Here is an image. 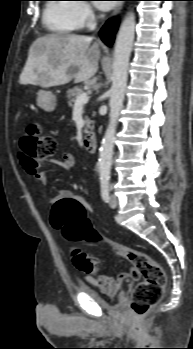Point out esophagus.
I'll list each match as a JSON object with an SVG mask.
<instances>
[{"instance_id": "esophagus-1", "label": "esophagus", "mask_w": 193, "mask_h": 349, "mask_svg": "<svg viewBox=\"0 0 193 349\" xmlns=\"http://www.w3.org/2000/svg\"><path fill=\"white\" fill-rule=\"evenodd\" d=\"M122 6H123V3L121 1H119L116 4V7H115L114 12H113V16H117L120 13Z\"/></svg>"}]
</instances>
